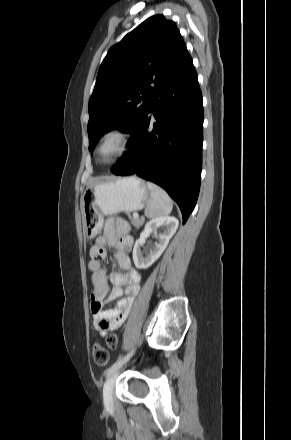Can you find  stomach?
I'll return each instance as SVG.
<instances>
[{
    "instance_id": "stomach-1",
    "label": "stomach",
    "mask_w": 291,
    "mask_h": 440,
    "mask_svg": "<svg viewBox=\"0 0 291 440\" xmlns=\"http://www.w3.org/2000/svg\"><path fill=\"white\" fill-rule=\"evenodd\" d=\"M151 198L147 184L136 176L114 178L89 186L82 196V215L87 237L102 228L105 215L144 208Z\"/></svg>"
}]
</instances>
